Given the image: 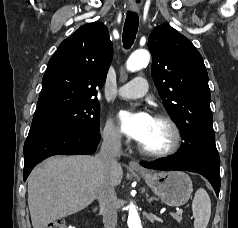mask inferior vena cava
<instances>
[{"mask_svg": "<svg viewBox=\"0 0 238 228\" xmlns=\"http://www.w3.org/2000/svg\"><path fill=\"white\" fill-rule=\"evenodd\" d=\"M121 154V137L117 132L106 133L99 154L96 156L102 178L97 189L104 228H115L117 224L116 193L110 173L118 164Z\"/></svg>", "mask_w": 238, "mask_h": 228, "instance_id": "inferior-vena-cava-1", "label": "inferior vena cava"}]
</instances>
